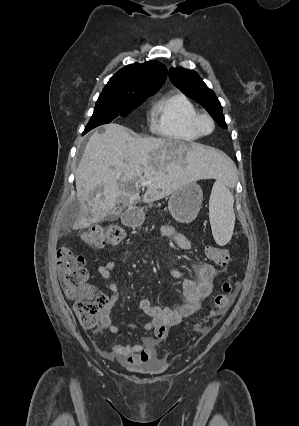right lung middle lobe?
Here are the masks:
<instances>
[{
  "instance_id": "dd1d6c3e",
  "label": "right lung middle lobe",
  "mask_w": 299,
  "mask_h": 426,
  "mask_svg": "<svg viewBox=\"0 0 299 426\" xmlns=\"http://www.w3.org/2000/svg\"><path fill=\"white\" fill-rule=\"evenodd\" d=\"M156 91L143 92L135 97H123L113 92L103 90L94 109V113L85 127L84 133L106 123H110L118 116H127L134 108L141 105L146 98Z\"/></svg>"
}]
</instances>
